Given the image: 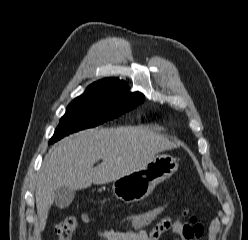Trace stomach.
Wrapping results in <instances>:
<instances>
[{
    "label": "stomach",
    "instance_id": "obj_1",
    "mask_svg": "<svg viewBox=\"0 0 248 240\" xmlns=\"http://www.w3.org/2000/svg\"><path fill=\"white\" fill-rule=\"evenodd\" d=\"M178 161L171 155H157L134 171L116 179L112 190L117 199L134 203L147 198L155 186L173 175Z\"/></svg>",
    "mask_w": 248,
    "mask_h": 240
}]
</instances>
